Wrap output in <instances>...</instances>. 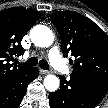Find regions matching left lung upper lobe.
<instances>
[{
	"label": "left lung upper lobe",
	"instance_id": "left-lung-upper-lobe-1",
	"mask_svg": "<svg viewBox=\"0 0 108 108\" xmlns=\"http://www.w3.org/2000/svg\"><path fill=\"white\" fill-rule=\"evenodd\" d=\"M51 20L62 41L63 56L68 54L73 73L108 79V36L93 21L77 12L52 13Z\"/></svg>",
	"mask_w": 108,
	"mask_h": 108
}]
</instances>
